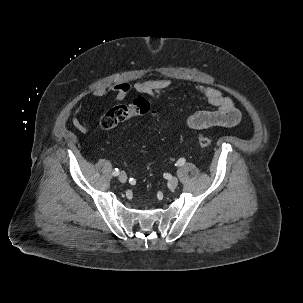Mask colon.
<instances>
[{
    "mask_svg": "<svg viewBox=\"0 0 303 303\" xmlns=\"http://www.w3.org/2000/svg\"><path fill=\"white\" fill-rule=\"evenodd\" d=\"M152 112L150 103L143 97L136 98L131 104H119L107 110L100 119V126L105 130L115 128L119 123L134 117ZM197 142L201 148H208L213 140L210 136L199 133Z\"/></svg>",
    "mask_w": 303,
    "mask_h": 303,
    "instance_id": "obj_1",
    "label": "colon"
}]
</instances>
